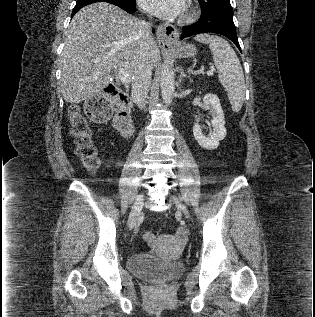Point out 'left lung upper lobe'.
<instances>
[{"label":"left lung upper lobe","instance_id":"1","mask_svg":"<svg viewBox=\"0 0 315 317\" xmlns=\"http://www.w3.org/2000/svg\"><path fill=\"white\" fill-rule=\"evenodd\" d=\"M205 15L217 17L227 14L233 15V9L230 0H198Z\"/></svg>","mask_w":315,"mask_h":317}]
</instances>
